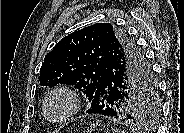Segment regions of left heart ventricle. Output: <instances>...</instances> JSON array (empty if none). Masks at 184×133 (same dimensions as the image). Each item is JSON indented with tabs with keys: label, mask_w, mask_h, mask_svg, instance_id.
I'll list each match as a JSON object with an SVG mask.
<instances>
[{
	"label": "left heart ventricle",
	"mask_w": 184,
	"mask_h": 133,
	"mask_svg": "<svg viewBox=\"0 0 184 133\" xmlns=\"http://www.w3.org/2000/svg\"><path fill=\"white\" fill-rule=\"evenodd\" d=\"M66 108V101L63 97H54L48 104L47 110L51 116H58Z\"/></svg>",
	"instance_id": "left-heart-ventricle-1"
}]
</instances>
